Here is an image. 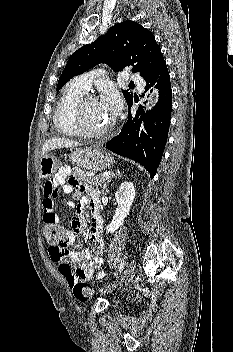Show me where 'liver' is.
I'll return each instance as SVG.
<instances>
[{
	"instance_id": "1",
	"label": "liver",
	"mask_w": 233,
	"mask_h": 352,
	"mask_svg": "<svg viewBox=\"0 0 233 352\" xmlns=\"http://www.w3.org/2000/svg\"><path fill=\"white\" fill-rule=\"evenodd\" d=\"M80 144L76 141H72L69 139L65 138H51L45 141L42 152H41V157L47 154L49 151L54 150V149H60V148H68V147H77Z\"/></svg>"
}]
</instances>
